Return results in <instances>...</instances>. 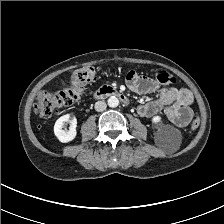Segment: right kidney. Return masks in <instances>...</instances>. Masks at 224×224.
<instances>
[{"instance_id":"1","label":"right kidney","mask_w":224,"mask_h":224,"mask_svg":"<svg viewBox=\"0 0 224 224\" xmlns=\"http://www.w3.org/2000/svg\"><path fill=\"white\" fill-rule=\"evenodd\" d=\"M66 122L70 124L69 131L67 132L62 129ZM76 127H77L76 117L73 114H66L61 116L55 122L54 134L59 139L60 142L67 143L72 141L76 137L77 135Z\"/></svg>"}]
</instances>
